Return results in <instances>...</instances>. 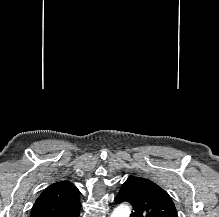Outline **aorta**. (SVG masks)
Here are the masks:
<instances>
[{
    "mask_svg": "<svg viewBox=\"0 0 219 217\" xmlns=\"http://www.w3.org/2000/svg\"><path fill=\"white\" fill-rule=\"evenodd\" d=\"M131 213V207L126 204L118 205L113 212L111 213L110 217H129Z\"/></svg>",
    "mask_w": 219,
    "mask_h": 217,
    "instance_id": "aorta-1",
    "label": "aorta"
}]
</instances>
